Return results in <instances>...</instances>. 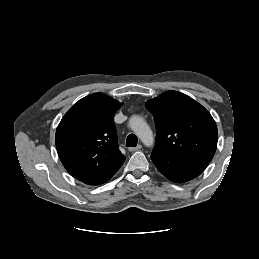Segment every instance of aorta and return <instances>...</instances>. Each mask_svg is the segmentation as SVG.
Returning a JSON list of instances; mask_svg holds the SVG:
<instances>
[{"instance_id":"aorta-1","label":"aorta","mask_w":259,"mask_h":259,"mask_svg":"<svg viewBox=\"0 0 259 259\" xmlns=\"http://www.w3.org/2000/svg\"><path fill=\"white\" fill-rule=\"evenodd\" d=\"M129 126L146 146L153 145L154 139L152 130L142 117L136 115L132 116L129 119Z\"/></svg>"}]
</instances>
